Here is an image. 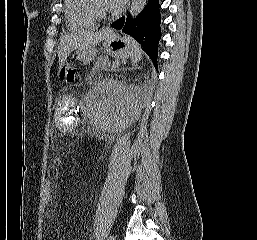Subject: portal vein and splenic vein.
<instances>
[{"label":"portal vein and splenic vein","mask_w":257,"mask_h":240,"mask_svg":"<svg viewBox=\"0 0 257 240\" xmlns=\"http://www.w3.org/2000/svg\"><path fill=\"white\" fill-rule=\"evenodd\" d=\"M119 65H120V63H119L118 61L113 62V67H114V68L118 67Z\"/></svg>","instance_id":"1"}]
</instances>
